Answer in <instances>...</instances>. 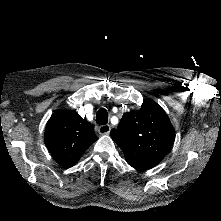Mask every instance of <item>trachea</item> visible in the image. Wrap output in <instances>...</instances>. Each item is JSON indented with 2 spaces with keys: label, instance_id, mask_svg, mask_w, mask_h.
<instances>
[{
  "label": "trachea",
  "instance_id": "1",
  "mask_svg": "<svg viewBox=\"0 0 221 221\" xmlns=\"http://www.w3.org/2000/svg\"><path fill=\"white\" fill-rule=\"evenodd\" d=\"M96 122L100 125L108 123V112L104 108H100L96 114Z\"/></svg>",
  "mask_w": 221,
  "mask_h": 221
}]
</instances>
